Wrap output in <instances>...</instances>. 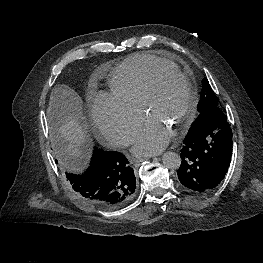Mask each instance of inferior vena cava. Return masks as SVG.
<instances>
[{
  "instance_id": "602c4592",
  "label": "inferior vena cava",
  "mask_w": 263,
  "mask_h": 263,
  "mask_svg": "<svg viewBox=\"0 0 263 263\" xmlns=\"http://www.w3.org/2000/svg\"><path fill=\"white\" fill-rule=\"evenodd\" d=\"M133 140L129 136H122L118 141H117V146L118 147H127L132 144Z\"/></svg>"
}]
</instances>
